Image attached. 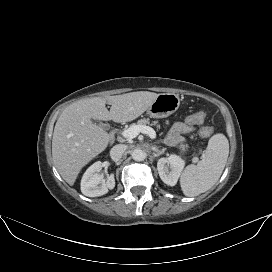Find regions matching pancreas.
Segmentation results:
<instances>
[{
    "label": "pancreas",
    "instance_id": "1",
    "mask_svg": "<svg viewBox=\"0 0 272 272\" xmlns=\"http://www.w3.org/2000/svg\"><path fill=\"white\" fill-rule=\"evenodd\" d=\"M157 123V121H154L153 123H150V121H149V119H141V120H138V122H137V125H155ZM180 149H181V151L182 152H185L186 151V149H187V145H182L181 147H180Z\"/></svg>",
    "mask_w": 272,
    "mask_h": 272
}]
</instances>
